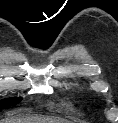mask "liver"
<instances>
[{"mask_svg": "<svg viewBox=\"0 0 118 123\" xmlns=\"http://www.w3.org/2000/svg\"><path fill=\"white\" fill-rule=\"evenodd\" d=\"M0 123H70L65 119H56L43 116H15L1 120Z\"/></svg>", "mask_w": 118, "mask_h": 123, "instance_id": "obj_1", "label": "liver"}]
</instances>
